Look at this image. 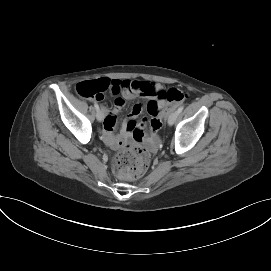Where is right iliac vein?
<instances>
[{
    "instance_id": "obj_1",
    "label": "right iliac vein",
    "mask_w": 271,
    "mask_h": 271,
    "mask_svg": "<svg viewBox=\"0 0 271 271\" xmlns=\"http://www.w3.org/2000/svg\"><path fill=\"white\" fill-rule=\"evenodd\" d=\"M96 118L99 122L103 121V119H104V109L103 108L97 110Z\"/></svg>"
}]
</instances>
